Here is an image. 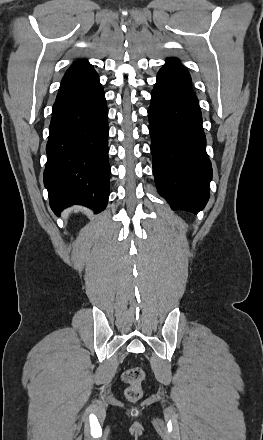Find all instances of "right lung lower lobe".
<instances>
[{
	"instance_id": "obj_1",
	"label": "right lung lower lobe",
	"mask_w": 263,
	"mask_h": 440,
	"mask_svg": "<svg viewBox=\"0 0 263 440\" xmlns=\"http://www.w3.org/2000/svg\"><path fill=\"white\" fill-rule=\"evenodd\" d=\"M108 110L95 70L61 82L53 105L44 184L58 215L74 204L95 212L109 197Z\"/></svg>"
}]
</instances>
